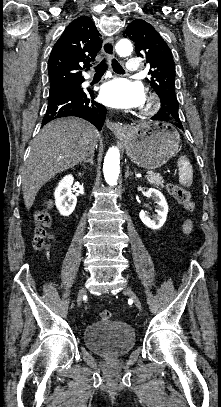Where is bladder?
Wrapping results in <instances>:
<instances>
[{
    "label": "bladder",
    "instance_id": "obj_1",
    "mask_svg": "<svg viewBox=\"0 0 221 407\" xmlns=\"http://www.w3.org/2000/svg\"><path fill=\"white\" fill-rule=\"evenodd\" d=\"M84 342L90 351L103 357L116 358L133 348L135 332L125 322H98L84 329Z\"/></svg>",
    "mask_w": 221,
    "mask_h": 407
}]
</instances>
